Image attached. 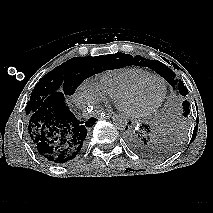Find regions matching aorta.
<instances>
[{"label": "aorta", "instance_id": "1", "mask_svg": "<svg viewBox=\"0 0 213 213\" xmlns=\"http://www.w3.org/2000/svg\"><path fill=\"white\" fill-rule=\"evenodd\" d=\"M113 124L120 130H125L128 125V120L124 115L117 114L113 117Z\"/></svg>", "mask_w": 213, "mask_h": 213}]
</instances>
